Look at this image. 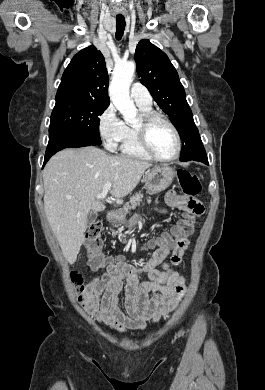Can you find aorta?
<instances>
[{
    "mask_svg": "<svg viewBox=\"0 0 265 390\" xmlns=\"http://www.w3.org/2000/svg\"><path fill=\"white\" fill-rule=\"evenodd\" d=\"M135 68L132 61L117 63L109 86L110 98L127 123L136 122L137 117V109L129 96Z\"/></svg>",
    "mask_w": 265,
    "mask_h": 390,
    "instance_id": "obj_1",
    "label": "aorta"
}]
</instances>
